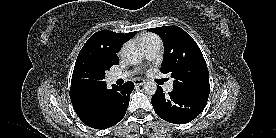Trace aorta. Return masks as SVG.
Segmentation results:
<instances>
[{"label":"aorta","mask_w":276,"mask_h":138,"mask_svg":"<svg viewBox=\"0 0 276 138\" xmlns=\"http://www.w3.org/2000/svg\"><path fill=\"white\" fill-rule=\"evenodd\" d=\"M126 60L130 64H138L143 58V52L137 47H129L125 52ZM144 91L148 95H154L157 91V85L153 81H148L144 84Z\"/></svg>","instance_id":"762f6f07"}]
</instances>
